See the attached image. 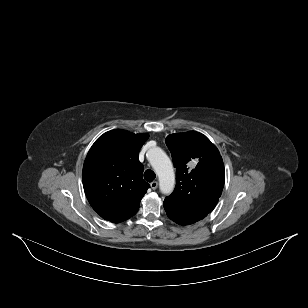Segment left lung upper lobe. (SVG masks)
<instances>
[{"label": "left lung upper lobe", "mask_w": 308, "mask_h": 308, "mask_svg": "<svg viewBox=\"0 0 308 308\" xmlns=\"http://www.w3.org/2000/svg\"><path fill=\"white\" fill-rule=\"evenodd\" d=\"M176 167V186L164 200L167 216L179 225L205 218L224 186V164L217 147L201 133L189 131L165 140Z\"/></svg>", "instance_id": "left-lung-upper-lobe-1"}]
</instances>
